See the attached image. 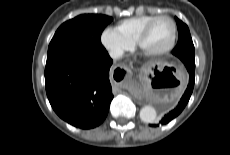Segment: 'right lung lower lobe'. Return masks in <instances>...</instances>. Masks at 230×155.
<instances>
[{
  "label": "right lung lower lobe",
  "mask_w": 230,
  "mask_h": 155,
  "mask_svg": "<svg viewBox=\"0 0 230 155\" xmlns=\"http://www.w3.org/2000/svg\"><path fill=\"white\" fill-rule=\"evenodd\" d=\"M112 62L107 51L47 60L46 93L60 118L82 129L94 128L104 121L113 99L109 81Z\"/></svg>",
  "instance_id": "right-lung-lower-lobe-1"
}]
</instances>
